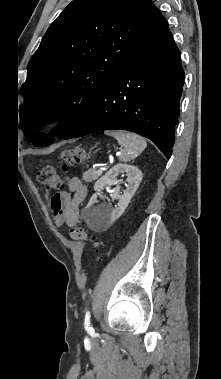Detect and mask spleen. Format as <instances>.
<instances>
[{
  "mask_svg": "<svg viewBox=\"0 0 221 379\" xmlns=\"http://www.w3.org/2000/svg\"><path fill=\"white\" fill-rule=\"evenodd\" d=\"M107 134L113 136L121 146L119 152V160L121 162L135 159L147 146L144 138L131 132L114 131Z\"/></svg>",
  "mask_w": 221,
  "mask_h": 379,
  "instance_id": "1",
  "label": "spleen"
}]
</instances>
